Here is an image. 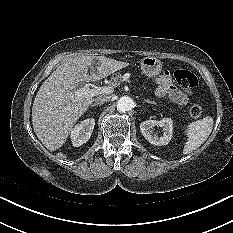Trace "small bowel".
<instances>
[{"instance_id":"obj_1","label":"small bowel","mask_w":233,"mask_h":233,"mask_svg":"<svg viewBox=\"0 0 233 233\" xmlns=\"http://www.w3.org/2000/svg\"><path fill=\"white\" fill-rule=\"evenodd\" d=\"M157 95L168 96L175 104L184 106L188 102V98L185 93L179 90L171 81L168 73L160 76L157 81Z\"/></svg>"}]
</instances>
